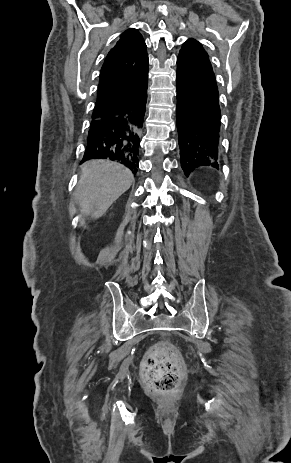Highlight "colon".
<instances>
[{"instance_id": "5ec220e1", "label": "colon", "mask_w": 291, "mask_h": 463, "mask_svg": "<svg viewBox=\"0 0 291 463\" xmlns=\"http://www.w3.org/2000/svg\"><path fill=\"white\" fill-rule=\"evenodd\" d=\"M143 375L154 393L164 396L174 392L183 375L176 351L169 345L152 348L144 359Z\"/></svg>"}]
</instances>
